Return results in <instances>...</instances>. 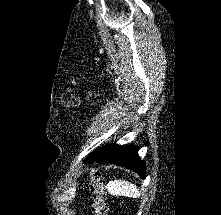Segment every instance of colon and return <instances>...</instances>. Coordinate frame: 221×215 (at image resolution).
I'll use <instances>...</instances> for the list:
<instances>
[{
    "label": "colon",
    "instance_id": "1",
    "mask_svg": "<svg viewBox=\"0 0 221 215\" xmlns=\"http://www.w3.org/2000/svg\"><path fill=\"white\" fill-rule=\"evenodd\" d=\"M90 191L92 195L91 211L94 215H107L106 193L97 176L90 178Z\"/></svg>",
    "mask_w": 221,
    "mask_h": 215
}]
</instances>
